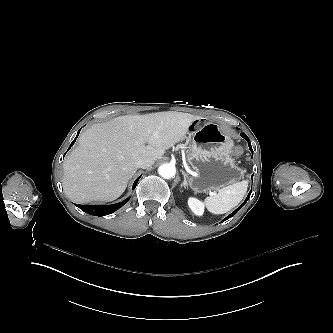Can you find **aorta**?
Segmentation results:
<instances>
[{"mask_svg":"<svg viewBox=\"0 0 333 333\" xmlns=\"http://www.w3.org/2000/svg\"><path fill=\"white\" fill-rule=\"evenodd\" d=\"M159 174L165 178V179H170L175 176L176 174V169L175 166L171 164H164L159 167Z\"/></svg>","mask_w":333,"mask_h":333,"instance_id":"762f6f07","label":"aorta"}]
</instances>
